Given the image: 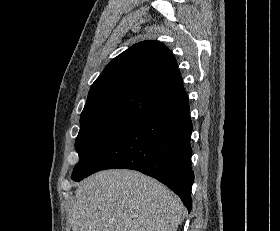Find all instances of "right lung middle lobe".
Segmentation results:
<instances>
[{"instance_id":"1","label":"right lung middle lobe","mask_w":280,"mask_h":231,"mask_svg":"<svg viewBox=\"0 0 280 231\" xmlns=\"http://www.w3.org/2000/svg\"><path fill=\"white\" fill-rule=\"evenodd\" d=\"M138 121L128 118L80 119V131L75 141L79 162L71 178L79 175L109 143Z\"/></svg>"}]
</instances>
